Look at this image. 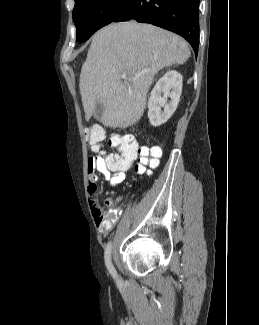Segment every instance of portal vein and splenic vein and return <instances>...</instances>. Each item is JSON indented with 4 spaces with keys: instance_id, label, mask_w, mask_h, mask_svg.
Masks as SVG:
<instances>
[{
    "instance_id": "1",
    "label": "portal vein and splenic vein",
    "mask_w": 259,
    "mask_h": 325,
    "mask_svg": "<svg viewBox=\"0 0 259 325\" xmlns=\"http://www.w3.org/2000/svg\"><path fill=\"white\" fill-rule=\"evenodd\" d=\"M121 78H122L124 81H127V77H126V75H122Z\"/></svg>"
}]
</instances>
